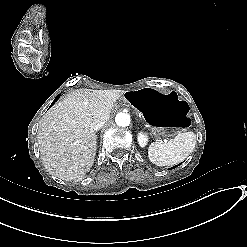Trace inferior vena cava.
<instances>
[{"mask_svg": "<svg viewBox=\"0 0 247 247\" xmlns=\"http://www.w3.org/2000/svg\"><path fill=\"white\" fill-rule=\"evenodd\" d=\"M104 123H105L104 121L97 122L96 124L93 125V129L95 131L100 130L103 127Z\"/></svg>", "mask_w": 247, "mask_h": 247, "instance_id": "602c4592", "label": "inferior vena cava"}]
</instances>
